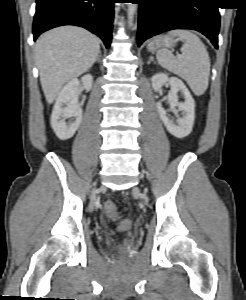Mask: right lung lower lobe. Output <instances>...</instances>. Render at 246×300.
<instances>
[{"mask_svg":"<svg viewBox=\"0 0 246 300\" xmlns=\"http://www.w3.org/2000/svg\"><path fill=\"white\" fill-rule=\"evenodd\" d=\"M116 0H36L34 41L54 27L76 25L98 35L109 48L112 38L113 3Z\"/></svg>","mask_w":246,"mask_h":300,"instance_id":"98d812e1","label":"right lung lower lobe"}]
</instances>
